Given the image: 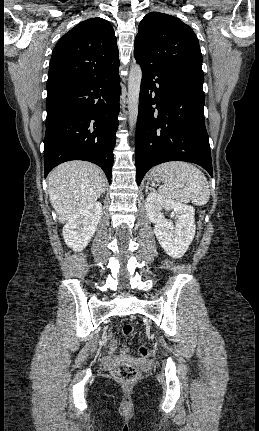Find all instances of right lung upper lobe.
Masks as SVG:
<instances>
[{
    "label": "right lung upper lobe",
    "instance_id": "cb5924a9",
    "mask_svg": "<svg viewBox=\"0 0 259 431\" xmlns=\"http://www.w3.org/2000/svg\"><path fill=\"white\" fill-rule=\"evenodd\" d=\"M119 51L112 25L102 18L85 20L57 42L49 65L47 90L110 76L119 70Z\"/></svg>",
    "mask_w": 259,
    "mask_h": 431
}]
</instances>
